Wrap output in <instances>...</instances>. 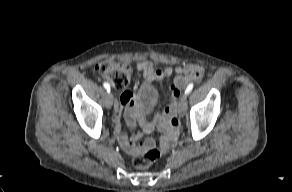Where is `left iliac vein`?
Returning <instances> with one entry per match:
<instances>
[{
  "instance_id": "1",
  "label": "left iliac vein",
  "mask_w": 292,
  "mask_h": 192,
  "mask_svg": "<svg viewBox=\"0 0 292 192\" xmlns=\"http://www.w3.org/2000/svg\"><path fill=\"white\" fill-rule=\"evenodd\" d=\"M187 110V95L183 94L180 98V102H179V115L180 117H183L186 113Z\"/></svg>"
}]
</instances>
